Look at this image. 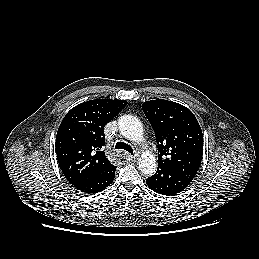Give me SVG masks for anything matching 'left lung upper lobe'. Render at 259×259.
<instances>
[{"instance_id":"obj_1","label":"left lung upper lobe","mask_w":259,"mask_h":259,"mask_svg":"<svg viewBox=\"0 0 259 259\" xmlns=\"http://www.w3.org/2000/svg\"><path fill=\"white\" fill-rule=\"evenodd\" d=\"M142 109L158 144V166L193 180L203 155V134L194 114L185 106L163 99L146 101Z\"/></svg>"}]
</instances>
